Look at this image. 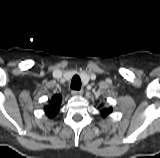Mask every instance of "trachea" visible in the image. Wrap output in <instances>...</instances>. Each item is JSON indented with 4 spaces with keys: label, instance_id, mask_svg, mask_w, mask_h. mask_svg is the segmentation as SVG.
<instances>
[{
    "label": "trachea",
    "instance_id": "trachea-1",
    "mask_svg": "<svg viewBox=\"0 0 160 158\" xmlns=\"http://www.w3.org/2000/svg\"><path fill=\"white\" fill-rule=\"evenodd\" d=\"M71 89L80 90L81 89V79L78 75L73 76L71 80Z\"/></svg>",
    "mask_w": 160,
    "mask_h": 158
}]
</instances>
